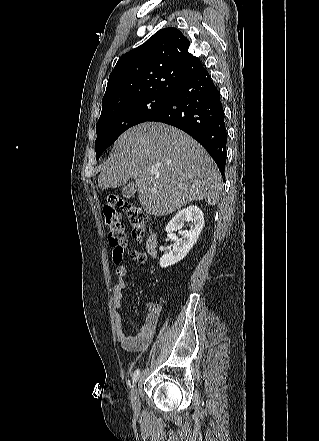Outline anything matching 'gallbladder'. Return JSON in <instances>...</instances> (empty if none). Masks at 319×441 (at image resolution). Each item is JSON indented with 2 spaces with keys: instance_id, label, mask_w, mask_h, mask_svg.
Listing matches in <instances>:
<instances>
[{
  "instance_id": "obj_1",
  "label": "gallbladder",
  "mask_w": 319,
  "mask_h": 441,
  "mask_svg": "<svg viewBox=\"0 0 319 441\" xmlns=\"http://www.w3.org/2000/svg\"><path fill=\"white\" fill-rule=\"evenodd\" d=\"M136 193V184L135 183H129L125 185L122 189V196L125 198H131Z\"/></svg>"
}]
</instances>
